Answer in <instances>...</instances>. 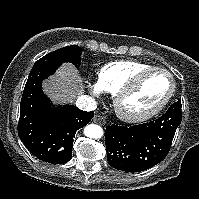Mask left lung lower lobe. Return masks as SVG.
<instances>
[{
	"label": "left lung lower lobe",
	"mask_w": 199,
	"mask_h": 199,
	"mask_svg": "<svg viewBox=\"0 0 199 199\" xmlns=\"http://www.w3.org/2000/svg\"><path fill=\"white\" fill-rule=\"evenodd\" d=\"M181 114V102L177 101L154 121L129 127L108 126L105 130L108 163L121 171L140 172L161 162L170 150Z\"/></svg>",
	"instance_id": "obj_1"
}]
</instances>
